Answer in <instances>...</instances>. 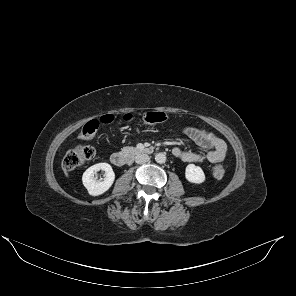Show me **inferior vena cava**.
Listing matches in <instances>:
<instances>
[{
  "label": "inferior vena cava",
  "mask_w": 296,
  "mask_h": 296,
  "mask_svg": "<svg viewBox=\"0 0 296 296\" xmlns=\"http://www.w3.org/2000/svg\"><path fill=\"white\" fill-rule=\"evenodd\" d=\"M149 156L147 154H144V153H140V154H137L135 156V162L137 164H144V163H147L149 161Z\"/></svg>",
  "instance_id": "obj_1"
}]
</instances>
